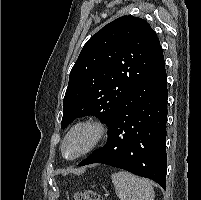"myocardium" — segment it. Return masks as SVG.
<instances>
[{
    "instance_id": "f54148a6",
    "label": "myocardium",
    "mask_w": 201,
    "mask_h": 200,
    "mask_svg": "<svg viewBox=\"0 0 201 200\" xmlns=\"http://www.w3.org/2000/svg\"><path fill=\"white\" fill-rule=\"evenodd\" d=\"M78 129L89 130L92 134L91 141L83 151H81L80 153H78L72 157H67L64 152L65 143H66L67 139L69 138V136ZM108 134H109V128L104 121H102L98 118H93V117L80 120V121L76 122L73 126H71L70 129L65 134V136L62 140V143H61V153H62L63 157L67 160L79 159V158L87 155L91 151H93L99 145H101L108 137Z\"/></svg>"
}]
</instances>
